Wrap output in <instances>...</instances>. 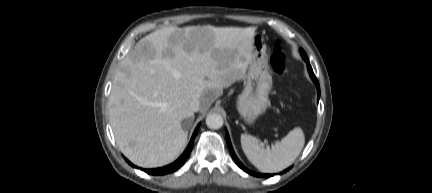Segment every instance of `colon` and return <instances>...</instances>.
<instances>
[{
  "mask_svg": "<svg viewBox=\"0 0 432 193\" xmlns=\"http://www.w3.org/2000/svg\"><path fill=\"white\" fill-rule=\"evenodd\" d=\"M271 67L279 75H285L287 73V59L278 43L275 44L273 50Z\"/></svg>",
  "mask_w": 432,
  "mask_h": 193,
  "instance_id": "5ec220e1",
  "label": "colon"
}]
</instances>
